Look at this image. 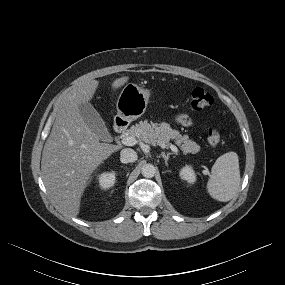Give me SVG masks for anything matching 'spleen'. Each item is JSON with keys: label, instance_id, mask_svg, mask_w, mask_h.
Instances as JSON below:
<instances>
[{"label": "spleen", "instance_id": "obj_1", "mask_svg": "<svg viewBox=\"0 0 285 285\" xmlns=\"http://www.w3.org/2000/svg\"><path fill=\"white\" fill-rule=\"evenodd\" d=\"M240 185L239 159L235 152L221 155L211 169L207 191L218 201H230Z\"/></svg>", "mask_w": 285, "mask_h": 285}]
</instances>
